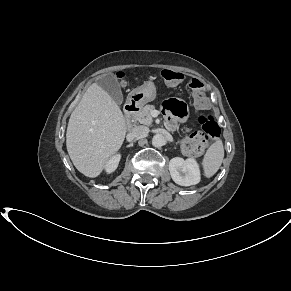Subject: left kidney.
I'll return each mask as SVG.
<instances>
[{"mask_svg": "<svg viewBox=\"0 0 291 291\" xmlns=\"http://www.w3.org/2000/svg\"><path fill=\"white\" fill-rule=\"evenodd\" d=\"M169 171L173 181L181 186H191L200 182V168L194 158L184 160L175 157L169 162Z\"/></svg>", "mask_w": 291, "mask_h": 291, "instance_id": "5707ae66", "label": "left kidney"}]
</instances>
